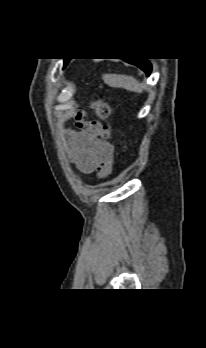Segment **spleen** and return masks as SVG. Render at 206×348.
<instances>
[{
    "mask_svg": "<svg viewBox=\"0 0 206 348\" xmlns=\"http://www.w3.org/2000/svg\"><path fill=\"white\" fill-rule=\"evenodd\" d=\"M103 79L110 87L123 88L137 93H142L144 89L136 78L129 75L107 74L104 75Z\"/></svg>",
    "mask_w": 206,
    "mask_h": 348,
    "instance_id": "1",
    "label": "spleen"
}]
</instances>
